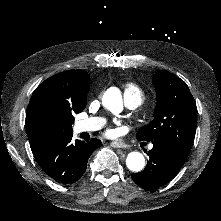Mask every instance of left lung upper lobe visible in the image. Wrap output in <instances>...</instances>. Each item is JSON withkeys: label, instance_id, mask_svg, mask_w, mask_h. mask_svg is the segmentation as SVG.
I'll use <instances>...</instances> for the list:
<instances>
[{"label": "left lung upper lobe", "instance_id": "obj_1", "mask_svg": "<svg viewBox=\"0 0 221 221\" xmlns=\"http://www.w3.org/2000/svg\"><path fill=\"white\" fill-rule=\"evenodd\" d=\"M157 92L154 120L143 126L136 137L143 141H163L188 156L195 137L197 108L187 84L168 71H156Z\"/></svg>", "mask_w": 221, "mask_h": 221}]
</instances>
